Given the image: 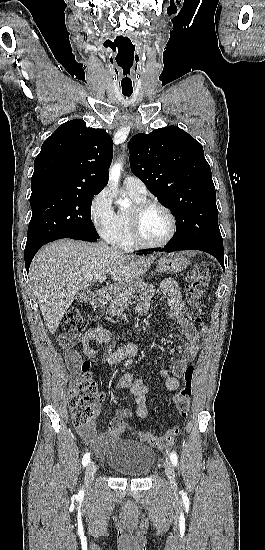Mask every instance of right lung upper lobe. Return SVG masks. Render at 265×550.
Wrapping results in <instances>:
<instances>
[{
  "mask_svg": "<svg viewBox=\"0 0 265 550\" xmlns=\"http://www.w3.org/2000/svg\"><path fill=\"white\" fill-rule=\"evenodd\" d=\"M112 138L81 119L62 124L41 147L34 161L32 193L56 191L98 194L108 180Z\"/></svg>",
  "mask_w": 265,
  "mask_h": 550,
  "instance_id": "1",
  "label": "right lung upper lobe"
}]
</instances>
